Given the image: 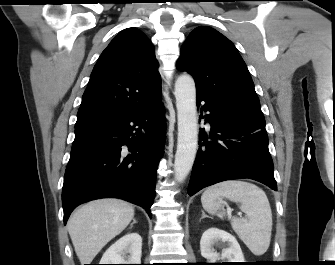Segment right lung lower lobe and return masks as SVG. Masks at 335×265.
<instances>
[{
    "label": "right lung lower lobe",
    "mask_w": 335,
    "mask_h": 265,
    "mask_svg": "<svg viewBox=\"0 0 335 265\" xmlns=\"http://www.w3.org/2000/svg\"><path fill=\"white\" fill-rule=\"evenodd\" d=\"M164 106H152L75 127L62 190L64 224L78 205L120 198L150 208L165 141Z\"/></svg>",
    "instance_id": "right-lung-lower-lobe-1"
}]
</instances>
